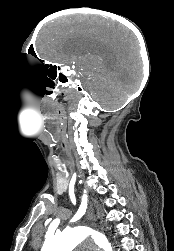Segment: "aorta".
<instances>
[{
    "label": "aorta",
    "mask_w": 174,
    "mask_h": 251,
    "mask_svg": "<svg viewBox=\"0 0 174 251\" xmlns=\"http://www.w3.org/2000/svg\"><path fill=\"white\" fill-rule=\"evenodd\" d=\"M91 238L104 251H113L105 235L90 227L67 229L47 240L41 251H72L86 239Z\"/></svg>",
    "instance_id": "762f6f07"
}]
</instances>
